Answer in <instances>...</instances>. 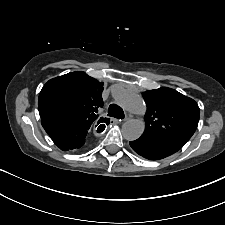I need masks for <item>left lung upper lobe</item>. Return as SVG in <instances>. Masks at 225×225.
I'll return each mask as SVG.
<instances>
[{
	"label": "left lung upper lobe",
	"instance_id": "left-lung-upper-lobe-1",
	"mask_svg": "<svg viewBox=\"0 0 225 225\" xmlns=\"http://www.w3.org/2000/svg\"><path fill=\"white\" fill-rule=\"evenodd\" d=\"M142 95L147 105L143 135L184 141L192 137L200 116L193 99L167 87L145 91Z\"/></svg>",
	"mask_w": 225,
	"mask_h": 225
}]
</instances>
